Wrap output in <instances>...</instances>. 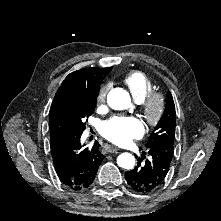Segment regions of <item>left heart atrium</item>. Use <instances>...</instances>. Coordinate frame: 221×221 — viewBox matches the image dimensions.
Returning <instances> with one entry per match:
<instances>
[{
	"label": "left heart atrium",
	"mask_w": 221,
	"mask_h": 221,
	"mask_svg": "<svg viewBox=\"0 0 221 221\" xmlns=\"http://www.w3.org/2000/svg\"><path fill=\"white\" fill-rule=\"evenodd\" d=\"M102 135L117 145H125L144 134L142 122L133 116H114L101 126Z\"/></svg>",
	"instance_id": "left-heart-atrium-1"
}]
</instances>
